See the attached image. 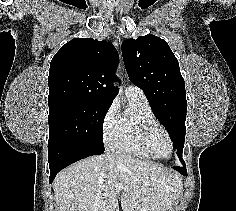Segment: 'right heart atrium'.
Returning a JSON list of instances; mask_svg holds the SVG:
<instances>
[{"mask_svg": "<svg viewBox=\"0 0 236 211\" xmlns=\"http://www.w3.org/2000/svg\"><path fill=\"white\" fill-rule=\"evenodd\" d=\"M117 121V108L116 105L112 103L103 114L100 124L102 141L105 146H109L115 135Z\"/></svg>", "mask_w": 236, "mask_h": 211, "instance_id": "right-heart-atrium-1", "label": "right heart atrium"}]
</instances>
